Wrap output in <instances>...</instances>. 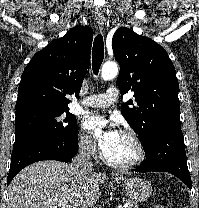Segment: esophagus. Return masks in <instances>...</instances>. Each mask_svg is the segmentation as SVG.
Segmentation results:
<instances>
[{
  "label": "esophagus",
  "instance_id": "34e87169",
  "mask_svg": "<svg viewBox=\"0 0 199 208\" xmlns=\"http://www.w3.org/2000/svg\"><path fill=\"white\" fill-rule=\"evenodd\" d=\"M95 19L97 21L99 29L101 31H103L104 26L106 24V19H105L103 11L101 9H99V8L95 9Z\"/></svg>",
  "mask_w": 199,
  "mask_h": 208
}]
</instances>
